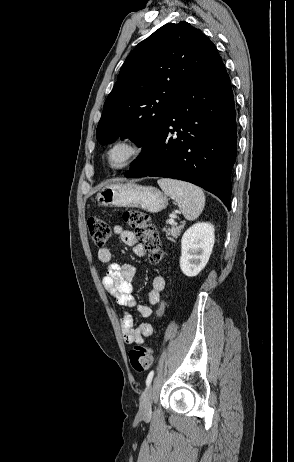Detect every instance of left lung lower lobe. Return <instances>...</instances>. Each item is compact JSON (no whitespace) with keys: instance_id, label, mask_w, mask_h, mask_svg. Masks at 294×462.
<instances>
[{"instance_id":"left-lung-lower-lobe-1","label":"left lung lower lobe","mask_w":294,"mask_h":462,"mask_svg":"<svg viewBox=\"0 0 294 462\" xmlns=\"http://www.w3.org/2000/svg\"><path fill=\"white\" fill-rule=\"evenodd\" d=\"M236 111L222 60L179 96L158 136L143 146L127 178L159 176L196 184L230 210L231 172L236 159Z\"/></svg>"}]
</instances>
